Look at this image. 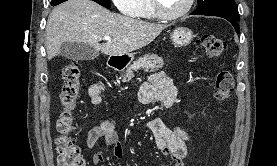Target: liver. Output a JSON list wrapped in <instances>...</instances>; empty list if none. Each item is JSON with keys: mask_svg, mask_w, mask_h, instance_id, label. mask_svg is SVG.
I'll list each match as a JSON object with an SVG mask.
<instances>
[{"mask_svg": "<svg viewBox=\"0 0 277 166\" xmlns=\"http://www.w3.org/2000/svg\"><path fill=\"white\" fill-rule=\"evenodd\" d=\"M167 25L111 12L92 0H68L50 13L46 26L47 58L58 56L65 42L83 43L105 55L131 53L150 44ZM105 36L111 41L100 44Z\"/></svg>", "mask_w": 277, "mask_h": 166, "instance_id": "6515ba94", "label": "liver"}]
</instances>
